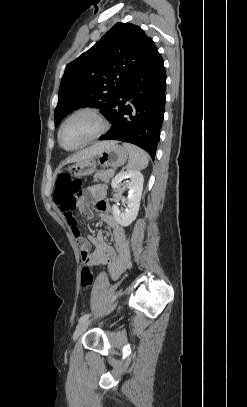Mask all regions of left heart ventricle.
<instances>
[{
    "mask_svg": "<svg viewBox=\"0 0 247 407\" xmlns=\"http://www.w3.org/2000/svg\"><path fill=\"white\" fill-rule=\"evenodd\" d=\"M99 130L97 120L87 114H80L70 119L62 129L61 143L66 148L81 145Z\"/></svg>",
    "mask_w": 247,
    "mask_h": 407,
    "instance_id": "b2bd125f",
    "label": "left heart ventricle"
}]
</instances>
